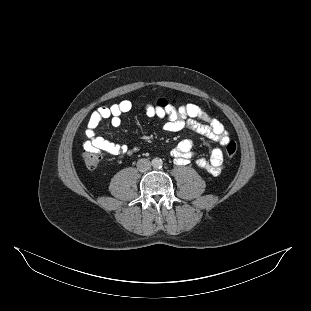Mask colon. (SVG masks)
<instances>
[{"label":"colon","instance_id":"1","mask_svg":"<svg viewBox=\"0 0 311 311\" xmlns=\"http://www.w3.org/2000/svg\"><path fill=\"white\" fill-rule=\"evenodd\" d=\"M157 104L160 107L169 106L170 102L166 99H159ZM237 152V145L234 141H230L227 143L225 147V153L228 158H233ZM83 160L86 166L90 169H95L101 162L102 155L98 150H85L83 151Z\"/></svg>","mask_w":311,"mask_h":311}]
</instances>
